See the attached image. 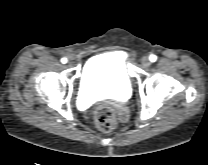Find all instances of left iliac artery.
Listing matches in <instances>:
<instances>
[{"mask_svg": "<svg viewBox=\"0 0 208 165\" xmlns=\"http://www.w3.org/2000/svg\"><path fill=\"white\" fill-rule=\"evenodd\" d=\"M149 59H150L151 62H155L157 60V56L150 55Z\"/></svg>", "mask_w": 208, "mask_h": 165, "instance_id": "left-iliac-artery-1", "label": "left iliac artery"}]
</instances>
